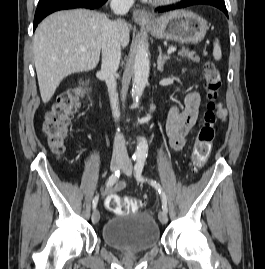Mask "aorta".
<instances>
[{
    "label": "aorta",
    "mask_w": 265,
    "mask_h": 269,
    "mask_svg": "<svg viewBox=\"0 0 265 269\" xmlns=\"http://www.w3.org/2000/svg\"><path fill=\"white\" fill-rule=\"evenodd\" d=\"M148 50L145 43H141L136 51L133 76V98L138 101L141 97L149 78ZM148 144L146 139L141 138L138 142L135 155L137 158H146Z\"/></svg>",
    "instance_id": "1"
}]
</instances>
